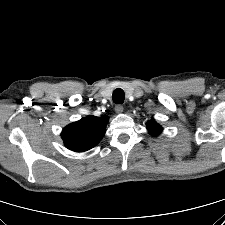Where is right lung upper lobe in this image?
<instances>
[{"instance_id":"cb5924a9","label":"right lung upper lobe","mask_w":225,"mask_h":225,"mask_svg":"<svg viewBox=\"0 0 225 225\" xmlns=\"http://www.w3.org/2000/svg\"><path fill=\"white\" fill-rule=\"evenodd\" d=\"M107 122V116H88L66 126L61 137L68 149L84 152L100 142L105 134Z\"/></svg>"}]
</instances>
